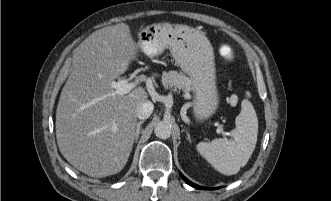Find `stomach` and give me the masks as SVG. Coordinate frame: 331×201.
Wrapping results in <instances>:
<instances>
[{"label": "stomach", "mask_w": 331, "mask_h": 201, "mask_svg": "<svg viewBox=\"0 0 331 201\" xmlns=\"http://www.w3.org/2000/svg\"><path fill=\"white\" fill-rule=\"evenodd\" d=\"M140 49L154 57L169 49L176 64L191 79L197 121L210 118L219 104L213 48L207 37L185 25L152 24L138 33Z\"/></svg>", "instance_id": "obj_1"}]
</instances>
